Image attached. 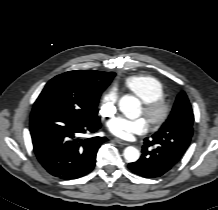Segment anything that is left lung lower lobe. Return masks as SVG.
<instances>
[{"label": "left lung lower lobe", "instance_id": "1", "mask_svg": "<svg viewBox=\"0 0 218 210\" xmlns=\"http://www.w3.org/2000/svg\"><path fill=\"white\" fill-rule=\"evenodd\" d=\"M184 153L183 150H167L161 143L146 138L140 159L128 167L133 173L146 178L159 177L172 169Z\"/></svg>", "mask_w": 218, "mask_h": 210}]
</instances>
